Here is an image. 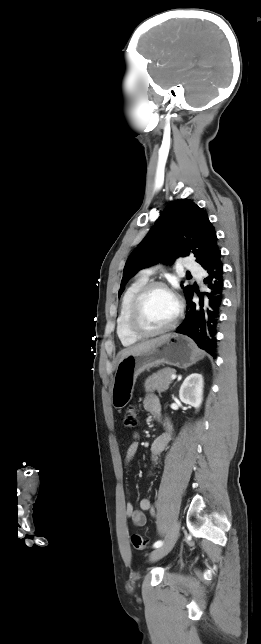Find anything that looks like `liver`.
Returning <instances> with one entry per match:
<instances>
[{
	"label": "liver",
	"mask_w": 261,
	"mask_h": 644,
	"mask_svg": "<svg viewBox=\"0 0 261 644\" xmlns=\"http://www.w3.org/2000/svg\"><path fill=\"white\" fill-rule=\"evenodd\" d=\"M169 338V335H163L155 339H151L145 342H142L140 344H137L135 346H131L129 348H126L121 351L120 353V361H122L125 357L132 355V354H137L140 352H145L150 350L151 348L155 347L156 345L162 344Z\"/></svg>",
	"instance_id": "obj_1"
}]
</instances>
